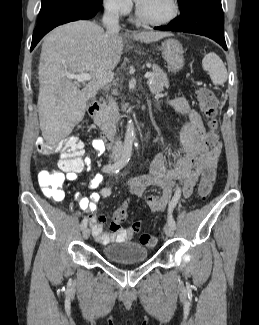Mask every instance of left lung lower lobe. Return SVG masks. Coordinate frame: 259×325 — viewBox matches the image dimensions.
I'll return each instance as SVG.
<instances>
[{
	"label": "left lung lower lobe",
	"instance_id": "0a47b994",
	"mask_svg": "<svg viewBox=\"0 0 259 325\" xmlns=\"http://www.w3.org/2000/svg\"><path fill=\"white\" fill-rule=\"evenodd\" d=\"M224 15L221 2L213 0H192L179 18L157 30L194 33L209 37L227 50L224 38Z\"/></svg>",
	"mask_w": 259,
	"mask_h": 325
}]
</instances>
